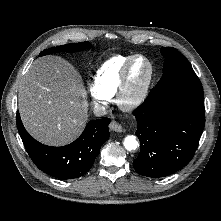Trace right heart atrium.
<instances>
[{"label":"right heart atrium","mask_w":221,"mask_h":221,"mask_svg":"<svg viewBox=\"0 0 221 221\" xmlns=\"http://www.w3.org/2000/svg\"><path fill=\"white\" fill-rule=\"evenodd\" d=\"M89 94L91 99L95 104L98 105H106L108 103V99L100 95L93 87V85L89 88Z\"/></svg>","instance_id":"d8ad5b80"}]
</instances>
